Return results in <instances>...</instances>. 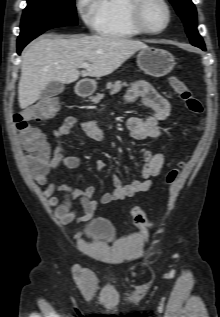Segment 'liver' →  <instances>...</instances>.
Instances as JSON below:
<instances>
[{
    "instance_id": "obj_1",
    "label": "liver",
    "mask_w": 220,
    "mask_h": 317,
    "mask_svg": "<svg viewBox=\"0 0 220 317\" xmlns=\"http://www.w3.org/2000/svg\"><path fill=\"white\" fill-rule=\"evenodd\" d=\"M147 47L141 41L116 36H42L30 43L22 54L18 85L20 108L35 103L52 81L70 84L80 76L109 75L135 52ZM82 63H89L90 67L79 72Z\"/></svg>"
}]
</instances>
